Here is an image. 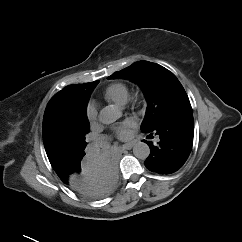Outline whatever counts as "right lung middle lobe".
<instances>
[{
	"label": "right lung middle lobe",
	"instance_id": "right-lung-middle-lobe-1",
	"mask_svg": "<svg viewBox=\"0 0 242 242\" xmlns=\"http://www.w3.org/2000/svg\"><path fill=\"white\" fill-rule=\"evenodd\" d=\"M89 129L90 125L85 110L78 119L63 123L56 129L52 137V149L60 156L74 159L83 157L87 145L85 135Z\"/></svg>",
	"mask_w": 242,
	"mask_h": 242
}]
</instances>
